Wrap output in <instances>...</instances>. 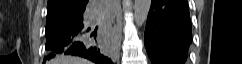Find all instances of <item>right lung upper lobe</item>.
<instances>
[{
    "instance_id": "1",
    "label": "right lung upper lobe",
    "mask_w": 242,
    "mask_h": 64,
    "mask_svg": "<svg viewBox=\"0 0 242 64\" xmlns=\"http://www.w3.org/2000/svg\"><path fill=\"white\" fill-rule=\"evenodd\" d=\"M88 0H48L47 13L74 11L84 8Z\"/></svg>"
}]
</instances>
